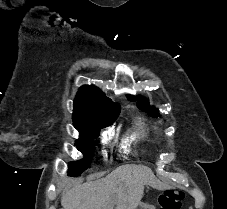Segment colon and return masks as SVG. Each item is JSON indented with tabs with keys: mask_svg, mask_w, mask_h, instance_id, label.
<instances>
[{
	"mask_svg": "<svg viewBox=\"0 0 227 209\" xmlns=\"http://www.w3.org/2000/svg\"><path fill=\"white\" fill-rule=\"evenodd\" d=\"M184 193L177 189H166L159 197V209H180Z\"/></svg>",
	"mask_w": 227,
	"mask_h": 209,
	"instance_id": "obj_1",
	"label": "colon"
}]
</instances>
